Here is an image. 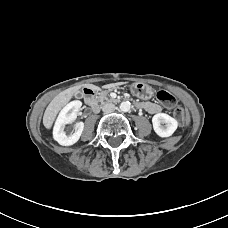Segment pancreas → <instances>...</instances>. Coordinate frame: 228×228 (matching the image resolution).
Returning a JSON list of instances; mask_svg holds the SVG:
<instances>
[{"instance_id":"pancreas-1","label":"pancreas","mask_w":228,"mask_h":228,"mask_svg":"<svg viewBox=\"0 0 228 228\" xmlns=\"http://www.w3.org/2000/svg\"><path fill=\"white\" fill-rule=\"evenodd\" d=\"M118 88H115V89H112V90H116ZM120 89V88H119ZM111 90V91H112ZM124 90V89H123ZM110 91L108 90H104L101 92V94L98 96V101L103 105L105 103H109V102H113V99L112 98H109L108 97V94H109Z\"/></svg>"}]
</instances>
